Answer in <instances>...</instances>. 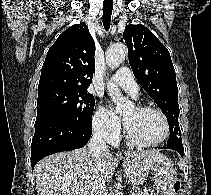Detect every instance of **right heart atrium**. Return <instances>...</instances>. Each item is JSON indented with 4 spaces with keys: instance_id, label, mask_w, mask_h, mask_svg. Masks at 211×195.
Segmentation results:
<instances>
[{
    "instance_id": "obj_1",
    "label": "right heart atrium",
    "mask_w": 211,
    "mask_h": 195,
    "mask_svg": "<svg viewBox=\"0 0 211 195\" xmlns=\"http://www.w3.org/2000/svg\"><path fill=\"white\" fill-rule=\"evenodd\" d=\"M93 128L110 143L117 142L121 133V120L109 108L99 105L93 116Z\"/></svg>"
}]
</instances>
